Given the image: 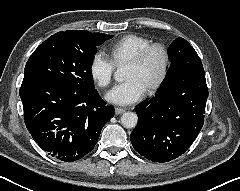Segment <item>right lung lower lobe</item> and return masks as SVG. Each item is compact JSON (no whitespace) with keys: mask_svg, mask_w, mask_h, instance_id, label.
<instances>
[{"mask_svg":"<svg viewBox=\"0 0 240 191\" xmlns=\"http://www.w3.org/2000/svg\"><path fill=\"white\" fill-rule=\"evenodd\" d=\"M19 92L29 133L42 150L64 162L87 155L114 115L95 89L80 92L51 81H23Z\"/></svg>","mask_w":240,"mask_h":191,"instance_id":"98d812e1","label":"right lung lower lobe"}]
</instances>
